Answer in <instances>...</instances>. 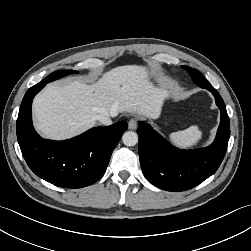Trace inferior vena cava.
<instances>
[{
    "mask_svg": "<svg viewBox=\"0 0 251 251\" xmlns=\"http://www.w3.org/2000/svg\"><path fill=\"white\" fill-rule=\"evenodd\" d=\"M97 120L104 126L112 124V120L109 114H100L97 116Z\"/></svg>",
    "mask_w": 251,
    "mask_h": 251,
    "instance_id": "inferior-vena-cava-1",
    "label": "inferior vena cava"
}]
</instances>
